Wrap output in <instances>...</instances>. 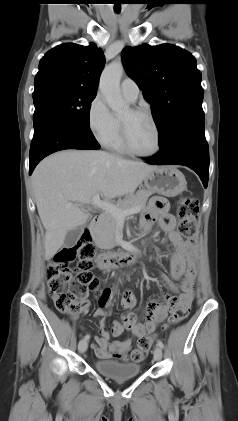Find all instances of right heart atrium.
<instances>
[{
	"label": "right heart atrium",
	"instance_id": "right-heart-atrium-1",
	"mask_svg": "<svg viewBox=\"0 0 238 421\" xmlns=\"http://www.w3.org/2000/svg\"><path fill=\"white\" fill-rule=\"evenodd\" d=\"M88 125L95 138L102 144L108 143L117 132L118 120L100 94H97L89 105Z\"/></svg>",
	"mask_w": 238,
	"mask_h": 421
}]
</instances>
